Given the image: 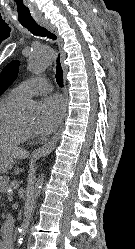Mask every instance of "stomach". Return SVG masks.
Returning a JSON list of instances; mask_svg holds the SVG:
<instances>
[{"label": "stomach", "instance_id": "stomach-1", "mask_svg": "<svg viewBox=\"0 0 135 249\" xmlns=\"http://www.w3.org/2000/svg\"><path fill=\"white\" fill-rule=\"evenodd\" d=\"M12 165L13 158L3 153H0V174L7 173L12 168Z\"/></svg>", "mask_w": 135, "mask_h": 249}]
</instances>
